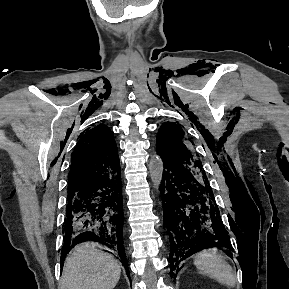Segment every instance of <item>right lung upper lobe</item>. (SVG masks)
Returning a JSON list of instances; mask_svg holds the SVG:
<instances>
[{"instance_id": "1", "label": "right lung upper lobe", "mask_w": 289, "mask_h": 289, "mask_svg": "<svg viewBox=\"0 0 289 289\" xmlns=\"http://www.w3.org/2000/svg\"><path fill=\"white\" fill-rule=\"evenodd\" d=\"M120 172L117 146L110 129L100 124L88 129L71 154L68 193L82 190L103 176Z\"/></svg>"}]
</instances>
